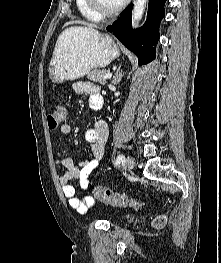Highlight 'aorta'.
Listing matches in <instances>:
<instances>
[{
    "label": "aorta",
    "instance_id": "aorta-1",
    "mask_svg": "<svg viewBox=\"0 0 221 263\" xmlns=\"http://www.w3.org/2000/svg\"><path fill=\"white\" fill-rule=\"evenodd\" d=\"M148 0H136L132 10V24L136 26L142 19Z\"/></svg>",
    "mask_w": 221,
    "mask_h": 263
}]
</instances>
